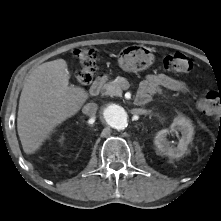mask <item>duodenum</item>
I'll list each match as a JSON object with an SVG mask.
<instances>
[{
    "mask_svg": "<svg viewBox=\"0 0 221 221\" xmlns=\"http://www.w3.org/2000/svg\"><path fill=\"white\" fill-rule=\"evenodd\" d=\"M104 80H105L104 74L101 73L97 76L95 81L90 86L89 92L91 96H97L100 93ZM135 102L138 105H146L149 102V97L147 95L139 93L135 99Z\"/></svg>",
    "mask_w": 221,
    "mask_h": 221,
    "instance_id": "obj_1",
    "label": "duodenum"
}]
</instances>
